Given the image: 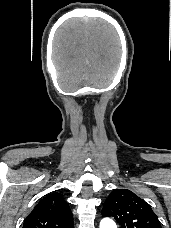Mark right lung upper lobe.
I'll return each instance as SVG.
<instances>
[{
    "mask_svg": "<svg viewBox=\"0 0 171 228\" xmlns=\"http://www.w3.org/2000/svg\"><path fill=\"white\" fill-rule=\"evenodd\" d=\"M23 228H74L68 203L59 193L49 194L27 216Z\"/></svg>",
    "mask_w": 171,
    "mask_h": 228,
    "instance_id": "obj_1",
    "label": "right lung upper lobe"
}]
</instances>
